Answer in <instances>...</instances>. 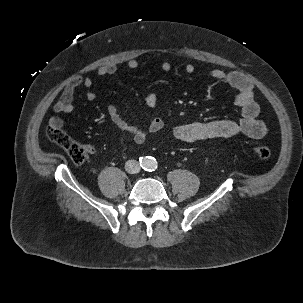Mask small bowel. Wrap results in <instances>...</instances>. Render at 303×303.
Returning a JSON list of instances; mask_svg holds the SVG:
<instances>
[{"label":"small bowel","instance_id":"1","mask_svg":"<svg viewBox=\"0 0 303 303\" xmlns=\"http://www.w3.org/2000/svg\"><path fill=\"white\" fill-rule=\"evenodd\" d=\"M139 63L135 59L127 61L129 69H137ZM162 71L168 73L171 71L169 62H164L161 66ZM195 68L192 64H186L184 71L192 74ZM117 71V65L109 63L100 66L97 70L99 77L114 75ZM210 76L218 82H221L236 92L235 104L238 106L241 118L235 120H215L210 122H195L179 125L174 128V137L181 142L191 143L213 138H228L237 134H244L252 139H260L266 134V126L263 121L258 119L260 108L254 100V86L251 81L241 73L225 72L220 69H214ZM94 81L91 77H76L66 84L59 99L53 106L56 114H69L74 110L73 99L77 88H90ZM88 101H94L96 94L92 91L86 93ZM157 94L151 90L145 95V103L148 107L153 108L157 104ZM107 112L113 124L121 130L131 134L136 143L144 142L147 137L160 131L164 122L160 117H153L147 129L130 125L119 113L117 107L113 104L107 106ZM50 124L61 127L63 120L55 115L50 118ZM86 151L89 154L95 152L94 146L86 145Z\"/></svg>","mask_w":303,"mask_h":303}]
</instances>
